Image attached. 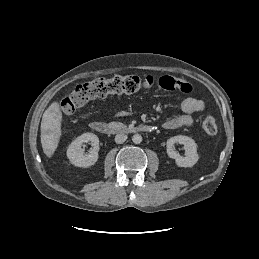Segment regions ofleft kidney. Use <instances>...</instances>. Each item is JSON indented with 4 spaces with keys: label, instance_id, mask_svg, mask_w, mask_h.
Here are the masks:
<instances>
[{
    "label": "left kidney",
    "instance_id": "obj_1",
    "mask_svg": "<svg viewBox=\"0 0 259 259\" xmlns=\"http://www.w3.org/2000/svg\"><path fill=\"white\" fill-rule=\"evenodd\" d=\"M175 143L184 145V157L174 150ZM167 154L170 158L175 159V162L179 167H192L199 159L195 141L184 135L174 136L167 140Z\"/></svg>",
    "mask_w": 259,
    "mask_h": 259
}]
</instances>
